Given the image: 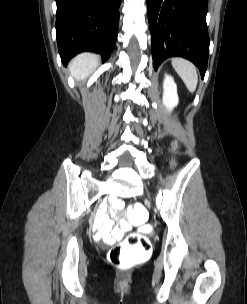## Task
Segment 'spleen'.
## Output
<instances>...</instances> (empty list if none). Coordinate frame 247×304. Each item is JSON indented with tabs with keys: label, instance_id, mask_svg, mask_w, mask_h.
Masks as SVG:
<instances>
[{
	"label": "spleen",
	"instance_id": "3e777b00",
	"mask_svg": "<svg viewBox=\"0 0 247 304\" xmlns=\"http://www.w3.org/2000/svg\"><path fill=\"white\" fill-rule=\"evenodd\" d=\"M172 66L181 77L187 89L193 93L198 83L197 69L195 65L186 59L175 57L172 59Z\"/></svg>",
	"mask_w": 247,
	"mask_h": 304
}]
</instances>
